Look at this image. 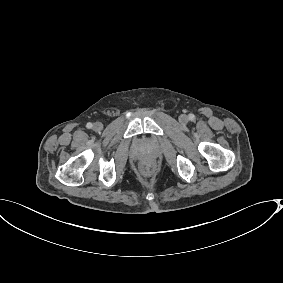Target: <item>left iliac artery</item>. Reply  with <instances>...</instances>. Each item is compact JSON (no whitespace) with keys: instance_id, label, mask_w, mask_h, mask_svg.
I'll use <instances>...</instances> for the list:
<instances>
[{"instance_id":"obj_1","label":"left iliac artery","mask_w":283,"mask_h":283,"mask_svg":"<svg viewBox=\"0 0 283 283\" xmlns=\"http://www.w3.org/2000/svg\"><path fill=\"white\" fill-rule=\"evenodd\" d=\"M195 119V115L194 114H189V120L193 121Z\"/></svg>"}]
</instances>
